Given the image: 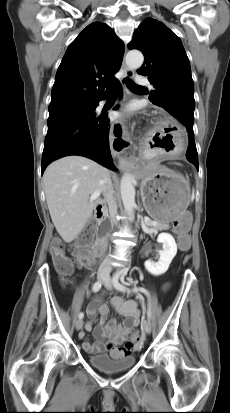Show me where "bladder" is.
I'll return each mask as SVG.
<instances>
[{
    "label": "bladder",
    "mask_w": 230,
    "mask_h": 413,
    "mask_svg": "<svg viewBox=\"0 0 230 413\" xmlns=\"http://www.w3.org/2000/svg\"><path fill=\"white\" fill-rule=\"evenodd\" d=\"M88 360L93 367L106 373L126 371L136 364V358L132 355L112 358L107 354H99L89 356Z\"/></svg>",
    "instance_id": "bladder-1"
}]
</instances>
